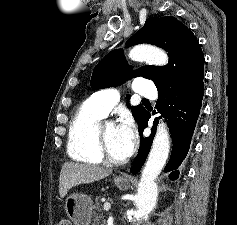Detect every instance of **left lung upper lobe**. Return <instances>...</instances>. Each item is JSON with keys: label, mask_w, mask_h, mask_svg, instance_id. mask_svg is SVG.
<instances>
[{"label": "left lung upper lobe", "mask_w": 237, "mask_h": 225, "mask_svg": "<svg viewBox=\"0 0 237 225\" xmlns=\"http://www.w3.org/2000/svg\"><path fill=\"white\" fill-rule=\"evenodd\" d=\"M127 43L128 46L154 44L168 52V65L143 66L133 74V77L151 79L158 90L178 88L204 76V55L197 38L173 16L147 19L143 28ZM131 70L122 50L112 51L94 68L91 87L101 89L123 84L131 76ZM127 106L138 124L145 108L142 105Z\"/></svg>", "instance_id": "1"}]
</instances>
